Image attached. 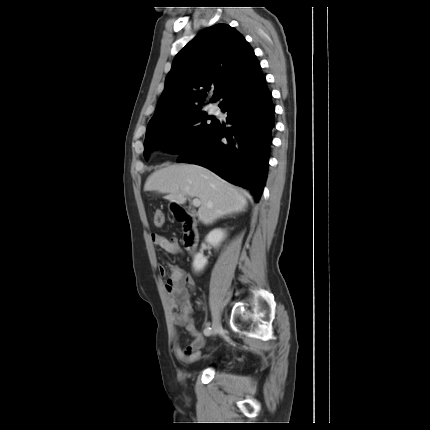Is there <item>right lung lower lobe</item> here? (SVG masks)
I'll return each mask as SVG.
<instances>
[{"label":"right lung lower lobe","mask_w":430,"mask_h":430,"mask_svg":"<svg viewBox=\"0 0 430 430\" xmlns=\"http://www.w3.org/2000/svg\"><path fill=\"white\" fill-rule=\"evenodd\" d=\"M219 107L227 112L228 130L220 122L206 141L178 161L204 166L227 181L249 189L258 202L267 178L275 107L265 77L232 90ZM226 141L222 142L221 139Z\"/></svg>","instance_id":"98d812e1"}]
</instances>
